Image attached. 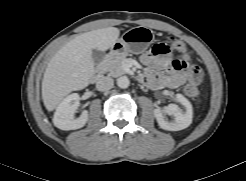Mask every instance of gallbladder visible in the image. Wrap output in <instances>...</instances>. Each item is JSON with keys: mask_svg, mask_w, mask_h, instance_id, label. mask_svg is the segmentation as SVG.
I'll list each match as a JSON object with an SVG mask.
<instances>
[{"mask_svg": "<svg viewBox=\"0 0 246 181\" xmlns=\"http://www.w3.org/2000/svg\"><path fill=\"white\" fill-rule=\"evenodd\" d=\"M105 57V53L101 50L98 49H93L92 50V59L94 64H99Z\"/></svg>", "mask_w": 246, "mask_h": 181, "instance_id": "bac80fb5", "label": "gallbladder"}]
</instances>
